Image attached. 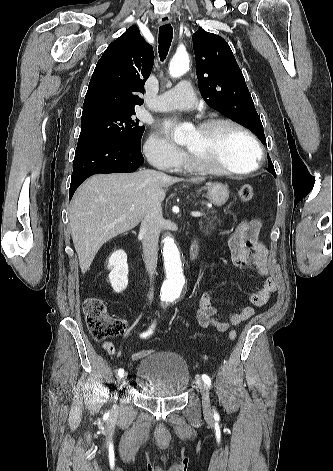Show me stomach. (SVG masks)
<instances>
[{
    "instance_id": "1",
    "label": "stomach",
    "mask_w": 333,
    "mask_h": 471,
    "mask_svg": "<svg viewBox=\"0 0 333 471\" xmlns=\"http://www.w3.org/2000/svg\"><path fill=\"white\" fill-rule=\"evenodd\" d=\"M208 190V199L215 206L224 205L229 198V189L226 185L222 183H211L207 186Z\"/></svg>"
}]
</instances>
